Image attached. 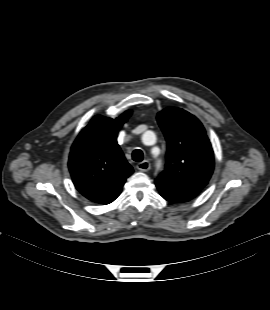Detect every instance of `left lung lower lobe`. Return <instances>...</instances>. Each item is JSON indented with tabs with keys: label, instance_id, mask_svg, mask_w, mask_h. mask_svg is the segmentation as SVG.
<instances>
[{
	"label": "left lung lower lobe",
	"instance_id": "1",
	"mask_svg": "<svg viewBox=\"0 0 270 310\" xmlns=\"http://www.w3.org/2000/svg\"><path fill=\"white\" fill-rule=\"evenodd\" d=\"M155 184L160 192V195L164 199L173 203L187 202L193 199L200 192L199 190L195 189L170 186L159 181H155Z\"/></svg>",
	"mask_w": 270,
	"mask_h": 310
}]
</instances>
